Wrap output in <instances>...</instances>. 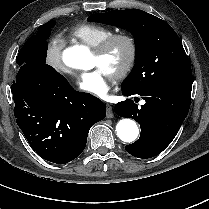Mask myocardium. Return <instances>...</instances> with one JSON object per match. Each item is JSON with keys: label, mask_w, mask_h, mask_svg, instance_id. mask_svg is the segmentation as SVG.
<instances>
[{"label": "myocardium", "mask_w": 209, "mask_h": 209, "mask_svg": "<svg viewBox=\"0 0 209 209\" xmlns=\"http://www.w3.org/2000/svg\"><path fill=\"white\" fill-rule=\"evenodd\" d=\"M119 42H123L127 45L128 56L120 69L112 76L115 80H123L132 70L138 55V44L136 39L128 33H114L93 50L98 58L104 59Z\"/></svg>", "instance_id": "1"}]
</instances>
